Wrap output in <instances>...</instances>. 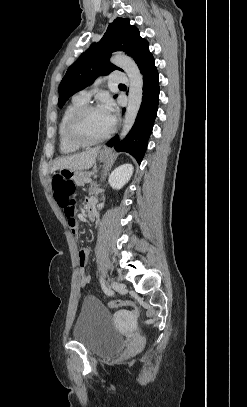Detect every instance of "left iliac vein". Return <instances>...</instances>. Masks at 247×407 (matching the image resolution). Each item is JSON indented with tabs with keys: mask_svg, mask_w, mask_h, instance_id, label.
<instances>
[{
	"mask_svg": "<svg viewBox=\"0 0 247 407\" xmlns=\"http://www.w3.org/2000/svg\"><path fill=\"white\" fill-rule=\"evenodd\" d=\"M111 285H112V288L117 292L123 293L126 291V285L124 283L113 282Z\"/></svg>",
	"mask_w": 247,
	"mask_h": 407,
	"instance_id": "obj_1",
	"label": "left iliac vein"
}]
</instances>
